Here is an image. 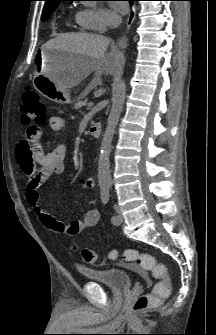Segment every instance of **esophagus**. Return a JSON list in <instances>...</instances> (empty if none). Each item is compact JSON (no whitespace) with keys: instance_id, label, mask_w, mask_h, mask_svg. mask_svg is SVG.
<instances>
[{"instance_id":"34e87169","label":"esophagus","mask_w":216,"mask_h":335,"mask_svg":"<svg viewBox=\"0 0 216 335\" xmlns=\"http://www.w3.org/2000/svg\"><path fill=\"white\" fill-rule=\"evenodd\" d=\"M135 15H136L135 8H134V6H131L129 14H128V17H127V21H126V28H127V30L131 27V25H132V23H133V21L135 19ZM118 44H119L120 47L125 48L126 45H127V38L126 37H122L119 40Z\"/></svg>"}]
</instances>
